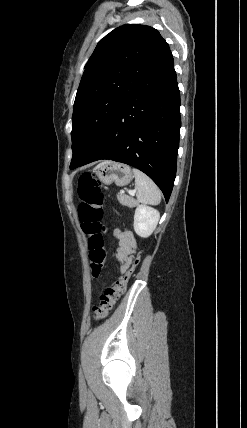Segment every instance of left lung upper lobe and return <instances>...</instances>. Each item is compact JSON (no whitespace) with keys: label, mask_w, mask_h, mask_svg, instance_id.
<instances>
[{"label":"left lung upper lobe","mask_w":247,"mask_h":428,"mask_svg":"<svg viewBox=\"0 0 247 428\" xmlns=\"http://www.w3.org/2000/svg\"><path fill=\"white\" fill-rule=\"evenodd\" d=\"M171 58L168 44L150 26L125 24L98 42L74 102L70 168L86 159L123 100Z\"/></svg>","instance_id":"5c2ea615"}]
</instances>
